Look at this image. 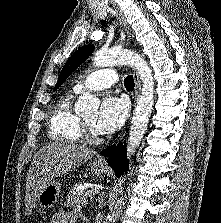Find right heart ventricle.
I'll return each mask as SVG.
<instances>
[{"label":"right heart ventricle","mask_w":221,"mask_h":223,"mask_svg":"<svg viewBox=\"0 0 221 223\" xmlns=\"http://www.w3.org/2000/svg\"><path fill=\"white\" fill-rule=\"evenodd\" d=\"M72 94L63 95L49 116L48 135L56 142L77 143L82 140L81 117L72 109Z\"/></svg>","instance_id":"1"}]
</instances>
